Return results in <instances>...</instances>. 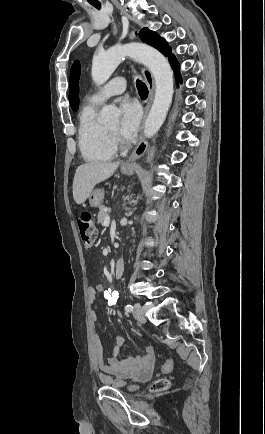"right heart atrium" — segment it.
Here are the masks:
<instances>
[{"label":"right heart atrium","instance_id":"1","mask_svg":"<svg viewBox=\"0 0 265 434\" xmlns=\"http://www.w3.org/2000/svg\"><path fill=\"white\" fill-rule=\"evenodd\" d=\"M112 143H118V138H112Z\"/></svg>","mask_w":265,"mask_h":434}]
</instances>
